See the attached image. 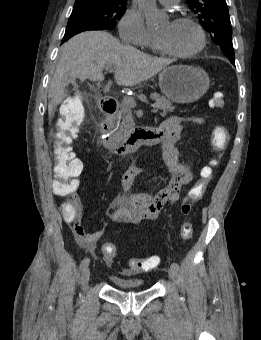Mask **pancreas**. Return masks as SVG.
<instances>
[{"instance_id":"pancreas-1","label":"pancreas","mask_w":261,"mask_h":340,"mask_svg":"<svg viewBox=\"0 0 261 340\" xmlns=\"http://www.w3.org/2000/svg\"><path fill=\"white\" fill-rule=\"evenodd\" d=\"M151 99L155 101V104L158 105V108L161 110L160 115L166 116L168 113L175 110V106L172 105L171 101L166 99L164 96H161L158 93H152L150 95ZM118 119V131L117 134L119 136L126 135L133 127L135 126L131 107L128 106L125 101H123L121 105V110L117 115Z\"/></svg>"}]
</instances>
